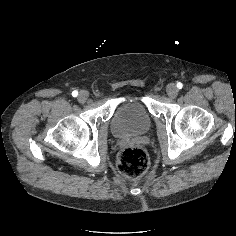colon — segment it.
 <instances>
[{"instance_id":"obj_1","label":"colon","mask_w":236,"mask_h":236,"mask_svg":"<svg viewBox=\"0 0 236 236\" xmlns=\"http://www.w3.org/2000/svg\"><path fill=\"white\" fill-rule=\"evenodd\" d=\"M149 167V158L145 151L137 147H127L117 158V169L120 174L137 179L143 176Z\"/></svg>"}]
</instances>
